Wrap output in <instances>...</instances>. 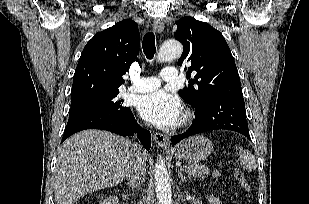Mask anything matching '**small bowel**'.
<instances>
[{
    "label": "small bowel",
    "mask_w": 309,
    "mask_h": 204,
    "mask_svg": "<svg viewBox=\"0 0 309 204\" xmlns=\"http://www.w3.org/2000/svg\"><path fill=\"white\" fill-rule=\"evenodd\" d=\"M213 176L215 177V178H218L219 177V172H218V170H214L213 171Z\"/></svg>",
    "instance_id": "small-bowel-1"
}]
</instances>
